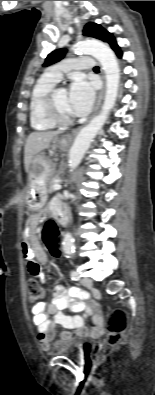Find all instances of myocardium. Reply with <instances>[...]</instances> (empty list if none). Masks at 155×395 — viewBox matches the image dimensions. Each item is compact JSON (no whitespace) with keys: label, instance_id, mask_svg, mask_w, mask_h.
<instances>
[{"label":"myocardium","instance_id":"obj_1","mask_svg":"<svg viewBox=\"0 0 155 395\" xmlns=\"http://www.w3.org/2000/svg\"><path fill=\"white\" fill-rule=\"evenodd\" d=\"M63 89L61 86H54L44 96L42 109L45 117L55 125L66 126L73 122L71 117L61 115L56 106V94Z\"/></svg>","mask_w":155,"mask_h":395}]
</instances>
